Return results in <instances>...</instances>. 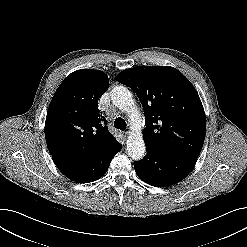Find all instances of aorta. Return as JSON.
I'll use <instances>...</instances> for the list:
<instances>
[{
    "label": "aorta",
    "mask_w": 247,
    "mask_h": 247,
    "mask_svg": "<svg viewBox=\"0 0 247 247\" xmlns=\"http://www.w3.org/2000/svg\"><path fill=\"white\" fill-rule=\"evenodd\" d=\"M111 100L113 104L124 112L133 109L134 100L132 93L124 86H116L111 91ZM142 119L140 114L135 113L130 117V126L132 129L127 143L128 155L134 160H140L145 156L146 146L141 131Z\"/></svg>",
    "instance_id": "obj_1"
}]
</instances>
